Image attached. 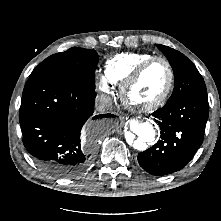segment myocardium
Returning <instances> with one entry per match:
<instances>
[{"label": "myocardium", "mask_w": 221, "mask_h": 221, "mask_svg": "<svg viewBox=\"0 0 221 221\" xmlns=\"http://www.w3.org/2000/svg\"><path fill=\"white\" fill-rule=\"evenodd\" d=\"M155 62H162L168 70V83L163 93L155 100L147 104H137L130 98L133 86L138 82L144 72ZM175 84V74L171 63L164 57L153 56L141 63L136 70L124 81L120 88V96L123 104L136 112H150L161 107L170 97Z\"/></svg>", "instance_id": "myocardium-1"}]
</instances>
